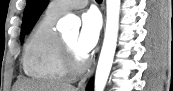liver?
Listing matches in <instances>:
<instances>
[{"label": "liver", "mask_w": 173, "mask_h": 91, "mask_svg": "<svg viewBox=\"0 0 173 91\" xmlns=\"http://www.w3.org/2000/svg\"><path fill=\"white\" fill-rule=\"evenodd\" d=\"M13 91H77L73 86L61 82H43L18 79Z\"/></svg>", "instance_id": "1"}]
</instances>
